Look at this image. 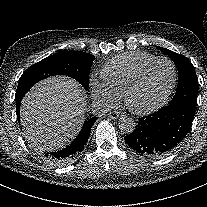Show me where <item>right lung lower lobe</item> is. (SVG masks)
Listing matches in <instances>:
<instances>
[{
	"label": "right lung lower lobe",
	"instance_id": "right-lung-lower-lobe-1",
	"mask_svg": "<svg viewBox=\"0 0 207 207\" xmlns=\"http://www.w3.org/2000/svg\"><path fill=\"white\" fill-rule=\"evenodd\" d=\"M22 98L16 99V113H17L18 122H20V104ZM96 119L97 117H93L90 120L86 121L78 136L66 148L54 152L46 151L41 153L39 156L42 157V159H44L45 161L56 165L70 162L77 155H79L84 149V146L87 143L91 132V127L95 123Z\"/></svg>",
	"mask_w": 207,
	"mask_h": 207
}]
</instances>
